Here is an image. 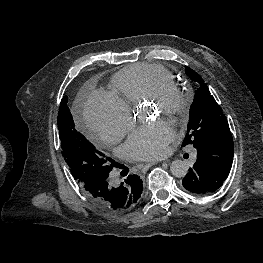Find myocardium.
Instances as JSON below:
<instances>
[{
    "mask_svg": "<svg viewBox=\"0 0 263 263\" xmlns=\"http://www.w3.org/2000/svg\"><path fill=\"white\" fill-rule=\"evenodd\" d=\"M146 100L156 106L161 114L177 119L189 109L191 94L175 82H164Z\"/></svg>",
    "mask_w": 263,
    "mask_h": 263,
    "instance_id": "obj_1",
    "label": "myocardium"
}]
</instances>
